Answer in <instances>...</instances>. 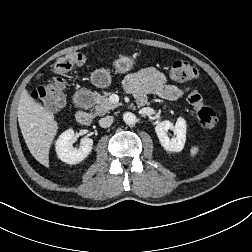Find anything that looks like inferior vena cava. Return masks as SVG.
Instances as JSON below:
<instances>
[{
	"instance_id": "obj_1",
	"label": "inferior vena cava",
	"mask_w": 252,
	"mask_h": 252,
	"mask_svg": "<svg viewBox=\"0 0 252 252\" xmlns=\"http://www.w3.org/2000/svg\"><path fill=\"white\" fill-rule=\"evenodd\" d=\"M113 116H106L104 118H101L99 120V125L102 127V128H107V127H110L111 124L113 123Z\"/></svg>"
}]
</instances>
